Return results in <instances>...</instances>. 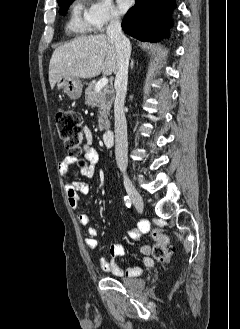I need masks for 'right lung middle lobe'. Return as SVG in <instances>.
<instances>
[{
	"label": "right lung middle lobe",
	"instance_id": "obj_1",
	"mask_svg": "<svg viewBox=\"0 0 240 329\" xmlns=\"http://www.w3.org/2000/svg\"><path fill=\"white\" fill-rule=\"evenodd\" d=\"M73 1L74 0H61L58 2L59 6H60L61 14H64L66 12L67 8L69 7V4Z\"/></svg>",
	"mask_w": 240,
	"mask_h": 329
}]
</instances>
